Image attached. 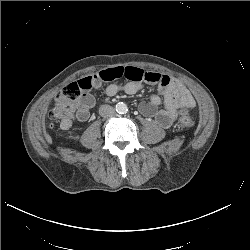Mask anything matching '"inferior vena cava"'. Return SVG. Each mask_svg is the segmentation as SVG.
Returning <instances> with one entry per match:
<instances>
[{
  "label": "inferior vena cava",
  "instance_id": "inferior-vena-cava-1",
  "mask_svg": "<svg viewBox=\"0 0 250 250\" xmlns=\"http://www.w3.org/2000/svg\"><path fill=\"white\" fill-rule=\"evenodd\" d=\"M114 112H115L114 108L110 105H102L99 108V114L102 117H110L114 114Z\"/></svg>",
  "mask_w": 250,
  "mask_h": 250
}]
</instances>
